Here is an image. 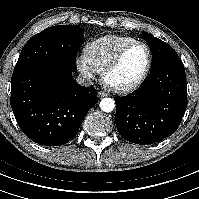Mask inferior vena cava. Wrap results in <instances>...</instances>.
I'll return each mask as SVG.
<instances>
[{
	"label": "inferior vena cava",
	"mask_w": 199,
	"mask_h": 199,
	"mask_svg": "<svg viewBox=\"0 0 199 199\" xmlns=\"http://www.w3.org/2000/svg\"><path fill=\"white\" fill-rule=\"evenodd\" d=\"M76 82L81 85V86H85V87H89L91 85H93V82L92 80L85 76V75H79L77 78H76Z\"/></svg>",
	"instance_id": "inferior-vena-cava-1"
}]
</instances>
